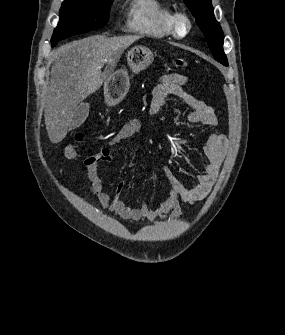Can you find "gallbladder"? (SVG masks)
<instances>
[{"label": "gallbladder", "mask_w": 285, "mask_h": 335, "mask_svg": "<svg viewBox=\"0 0 285 335\" xmlns=\"http://www.w3.org/2000/svg\"><path fill=\"white\" fill-rule=\"evenodd\" d=\"M89 116V104H79L77 106L73 120L69 126L70 130H75V128H79L83 122H85L86 118Z\"/></svg>", "instance_id": "1"}]
</instances>
